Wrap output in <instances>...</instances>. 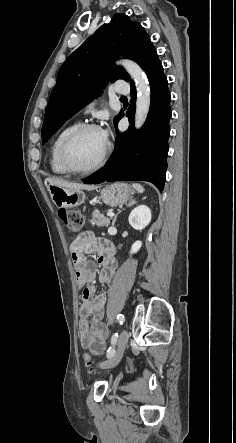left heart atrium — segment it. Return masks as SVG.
Masks as SVG:
<instances>
[{"label":"left heart atrium","instance_id":"obj_1","mask_svg":"<svg viewBox=\"0 0 236 443\" xmlns=\"http://www.w3.org/2000/svg\"><path fill=\"white\" fill-rule=\"evenodd\" d=\"M101 132H102V134H103V136H104V138H105V140L107 142L108 141V136H109L108 131L107 130H102Z\"/></svg>","mask_w":236,"mask_h":443}]
</instances>
